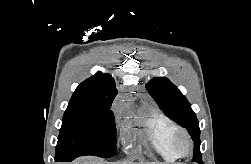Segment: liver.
<instances>
[{
    "label": "liver",
    "mask_w": 251,
    "mask_h": 164,
    "mask_svg": "<svg viewBox=\"0 0 251 164\" xmlns=\"http://www.w3.org/2000/svg\"><path fill=\"white\" fill-rule=\"evenodd\" d=\"M71 164H131V163H108V162H103L101 159L96 157H82L72 162Z\"/></svg>",
    "instance_id": "1"
}]
</instances>
